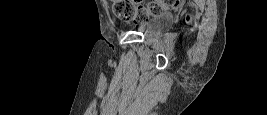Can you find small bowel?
I'll return each mask as SVG.
<instances>
[{
	"label": "small bowel",
	"instance_id": "obj_1",
	"mask_svg": "<svg viewBox=\"0 0 267 115\" xmlns=\"http://www.w3.org/2000/svg\"><path fill=\"white\" fill-rule=\"evenodd\" d=\"M162 5H163V7H166V8H176L177 2L176 1H168V2H163Z\"/></svg>",
	"mask_w": 267,
	"mask_h": 115
}]
</instances>
